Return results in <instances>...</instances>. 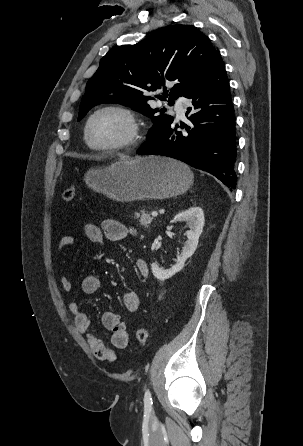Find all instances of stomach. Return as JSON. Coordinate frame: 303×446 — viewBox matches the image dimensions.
Wrapping results in <instances>:
<instances>
[{
  "label": "stomach",
  "instance_id": "stomach-1",
  "mask_svg": "<svg viewBox=\"0 0 303 446\" xmlns=\"http://www.w3.org/2000/svg\"><path fill=\"white\" fill-rule=\"evenodd\" d=\"M192 180L184 163L159 156L122 159L85 175L88 187L120 202L175 197L186 192Z\"/></svg>",
  "mask_w": 303,
  "mask_h": 446
}]
</instances>
